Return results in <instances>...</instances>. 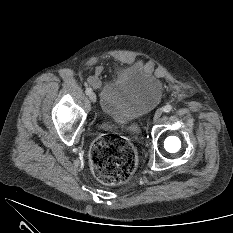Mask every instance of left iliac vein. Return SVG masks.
<instances>
[{"label":"left iliac vein","mask_w":233,"mask_h":233,"mask_svg":"<svg viewBox=\"0 0 233 233\" xmlns=\"http://www.w3.org/2000/svg\"><path fill=\"white\" fill-rule=\"evenodd\" d=\"M162 113H163V110L161 108L156 110L155 115H154L155 122L161 117Z\"/></svg>","instance_id":"left-iliac-vein-1"}]
</instances>
